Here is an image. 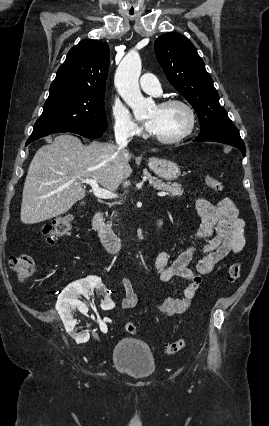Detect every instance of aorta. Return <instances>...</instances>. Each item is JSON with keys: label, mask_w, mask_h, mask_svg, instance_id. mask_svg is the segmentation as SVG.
I'll list each match as a JSON object with an SVG mask.
<instances>
[{"label": "aorta", "mask_w": 269, "mask_h": 426, "mask_svg": "<svg viewBox=\"0 0 269 426\" xmlns=\"http://www.w3.org/2000/svg\"><path fill=\"white\" fill-rule=\"evenodd\" d=\"M141 59L138 53L130 52L121 61L115 74V86L135 118H142L153 105L151 99L143 97L139 88Z\"/></svg>", "instance_id": "aorta-1"}]
</instances>
